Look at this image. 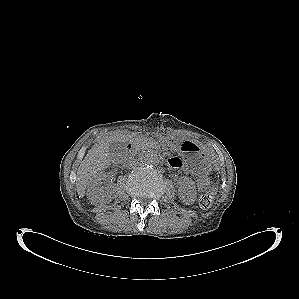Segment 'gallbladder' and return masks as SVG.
<instances>
[{
  "label": "gallbladder",
  "mask_w": 299,
  "mask_h": 299,
  "mask_svg": "<svg viewBox=\"0 0 299 299\" xmlns=\"http://www.w3.org/2000/svg\"><path fill=\"white\" fill-rule=\"evenodd\" d=\"M110 153L113 154H124L126 151V146L124 143L121 142H114L111 144L109 148Z\"/></svg>",
  "instance_id": "gallbladder-1"
}]
</instances>
